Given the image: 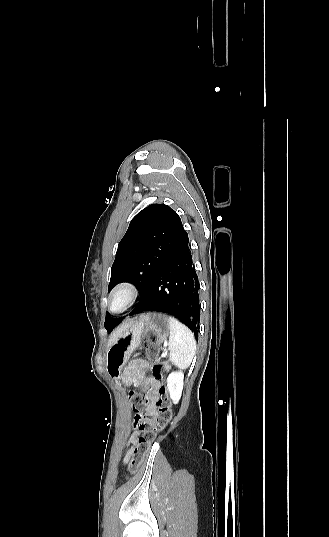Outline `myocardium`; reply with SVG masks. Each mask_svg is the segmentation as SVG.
<instances>
[{
    "instance_id": "f54148a6",
    "label": "myocardium",
    "mask_w": 329,
    "mask_h": 537,
    "mask_svg": "<svg viewBox=\"0 0 329 537\" xmlns=\"http://www.w3.org/2000/svg\"><path fill=\"white\" fill-rule=\"evenodd\" d=\"M120 293H125L127 295V301L122 309L120 310H114L112 306V300L114 297ZM139 296V291L137 287L131 283V282H121L116 287H114L107 297V308L108 310L113 314H121L128 309H130L135 302L137 301Z\"/></svg>"
}]
</instances>
